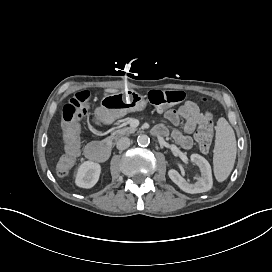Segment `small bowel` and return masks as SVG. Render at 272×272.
<instances>
[{
  "mask_svg": "<svg viewBox=\"0 0 272 272\" xmlns=\"http://www.w3.org/2000/svg\"><path fill=\"white\" fill-rule=\"evenodd\" d=\"M200 114L199 106L191 100L184 101L178 109H168L164 112L167 121L174 126L171 131L173 140L184 149L192 147V135L203 129L197 123ZM181 123L182 128H180ZM154 130H158L161 135L168 133L167 127L163 124L156 125Z\"/></svg>",
  "mask_w": 272,
  "mask_h": 272,
  "instance_id": "1",
  "label": "small bowel"
}]
</instances>
